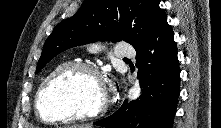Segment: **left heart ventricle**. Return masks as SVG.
<instances>
[{
  "label": "left heart ventricle",
  "instance_id": "b2bd125f",
  "mask_svg": "<svg viewBox=\"0 0 221 128\" xmlns=\"http://www.w3.org/2000/svg\"><path fill=\"white\" fill-rule=\"evenodd\" d=\"M103 91L96 78L82 70L53 82L44 94L42 109L49 116L76 115L97 108Z\"/></svg>",
  "mask_w": 221,
  "mask_h": 128
}]
</instances>
